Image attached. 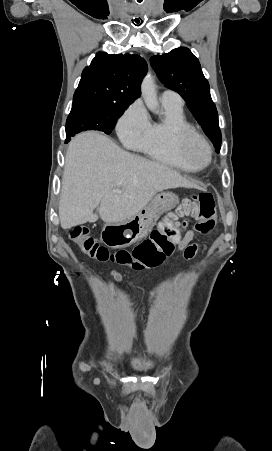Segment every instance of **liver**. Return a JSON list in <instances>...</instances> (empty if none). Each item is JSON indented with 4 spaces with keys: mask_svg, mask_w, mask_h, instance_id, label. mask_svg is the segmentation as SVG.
<instances>
[{
    "mask_svg": "<svg viewBox=\"0 0 272 451\" xmlns=\"http://www.w3.org/2000/svg\"><path fill=\"white\" fill-rule=\"evenodd\" d=\"M168 188L197 186L168 166L121 150L99 132H82L72 138L66 152L58 208L61 227L96 222L93 210L99 204L103 222H125Z\"/></svg>",
    "mask_w": 272,
    "mask_h": 451,
    "instance_id": "1",
    "label": "liver"
}]
</instances>
